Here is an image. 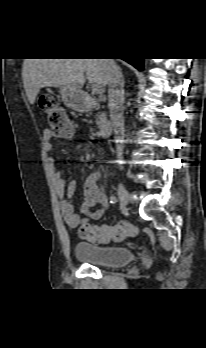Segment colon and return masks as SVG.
Here are the masks:
<instances>
[{"label":"colon","instance_id":"5ec220e1","mask_svg":"<svg viewBox=\"0 0 206 348\" xmlns=\"http://www.w3.org/2000/svg\"><path fill=\"white\" fill-rule=\"evenodd\" d=\"M39 106L47 116L52 135L61 138H72L74 136V127L70 119L64 108L53 96H42ZM137 233V226L130 222H119L111 226L87 224L79 230L81 237L94 243L120 242L126 238L136 236Z\"/></svg>","mask_w":206,"mask_h":348}]
</instances>
